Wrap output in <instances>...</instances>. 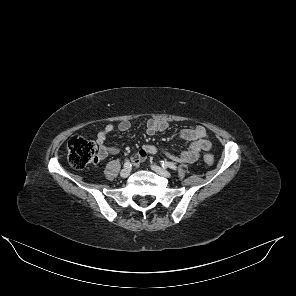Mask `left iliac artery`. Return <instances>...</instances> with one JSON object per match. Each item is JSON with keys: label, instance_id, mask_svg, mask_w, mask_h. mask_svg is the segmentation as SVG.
Returning a JSON list of instances; mask_svg holds the SVG:
<instances>
[{"label": "left iliac artery", "instance_id": "1", "mask_svg": "<svg viewBox=\"0 0 296 296\" xmlns=\"http://www.w3.org/2000/svg\"><path fill=\"white\" fill-rule=\"evenodd\" d=\"M163 168H170L172 170H177V166L174 163L167 161H160Z\"/></svg>", "mask_w": 296, "mask_h": 296}]
</instances>
